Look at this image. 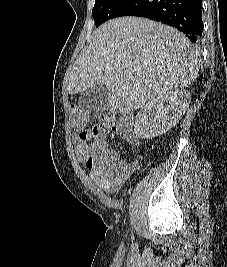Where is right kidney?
Listing matches in <instances>:
<instances>
[{"label": "right kidney", "mask_w": 227, "mask_h": 267, "mask_svg": "<svg viewBox=\"0 0 227 267\" xmlns=\"http://www.w3.org/2000/svg\"><path fill=\"white\" fill-rule=\"evenodd\" d=\"M190 101V92L183 88L163 93L149 101L136 116V137L150 139L166 133L179 122Z\"/></svg>", "instance_id": "right-kidney-1"}]
</instances>
